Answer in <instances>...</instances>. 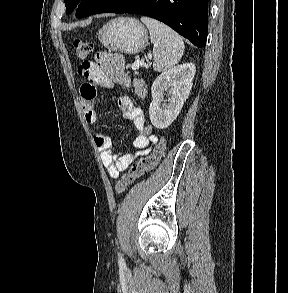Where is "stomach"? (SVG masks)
Masks as SVG:
<instances>
[{
    "label": "stomach",
    "instance_id": "stomach-1",
    "mask_svg": "<svg viewBox=\"0 0 288 293\" xmlns=\"http://www.w3.org/2000/svg\"><path fill=\"white\" fill-rule=\"evenodd\" d=\"M98 38L109 50L137 54L146 47L149 37L146 27L137 19L118 17L98 31Z\"/></svg>",
    "mask_w": 288,
    "mask_h": 293
}]
</instances>
